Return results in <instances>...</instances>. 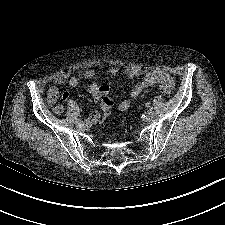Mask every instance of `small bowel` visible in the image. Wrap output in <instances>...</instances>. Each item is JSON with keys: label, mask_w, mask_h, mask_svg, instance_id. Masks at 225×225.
Returning <instances> with one entry per match:
<instances>
[{"label": "small bowel", "mask_w": 225, "mask_h": 225, "mask_svg": "<svg viewBox=\"0 0 225 225\" xmlns=\"http://www.w3.org/2000/svg\"><path fill=\"white\" fill-rule=\"evenodd\" d=\"M110 75H115L119 72L117 67H110L106 71ZM124 74L128 78H134L142 74V69L139 67H128L124 70ZM100 73L94 69L85 70L81 76H71V73L68 69H63L55 76L53 80V84L50 86L47 92V101L50 106H52L53 111L56 114H61L63 111V107L60 104H57V100L59 97V87L68 83L72 88H78L80 86L81 79H98ZM166 84L172 87L174 85L173 78L163 70H152L147 72L144 77L139 80L130 90L129 95L119 102L118 109L120 111H126L130 108L132 102L149 86L154 84ZM86 91L92 96L93 100L98 102L107 98L110 88L105 84H98L96 81L92 82L86 87ZM70 96L68 91H65L62 94V99L67 100ZM100 118L99 112H94L90 115L89 121L90 123H96V121Z\"/></svg>", "instance_id": "1"}]
</instances>
